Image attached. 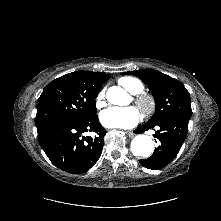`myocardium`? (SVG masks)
Returning a JSON list of instances; mask_svg holds the SVG:
<instances>
[{"label": "myocardium", "instance_id": "myocardium-1", "mask_svg": "<svg viewBox=\"0 0 221 221\" xmlns=\"http://www.w3.org/2000/svg\"><path fill=\"white\" fill-rule=\"evenodd\" d=\"M135 103L141 109L144 115L150 116L155 112L156 102L150 94H140L135 98Z\"/></svg>", "mask_w": 221, "mask_h": 221}]
</instances>
